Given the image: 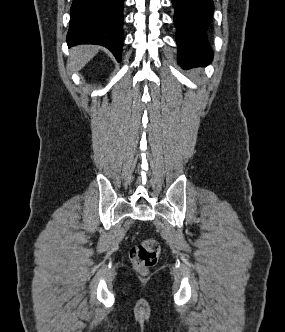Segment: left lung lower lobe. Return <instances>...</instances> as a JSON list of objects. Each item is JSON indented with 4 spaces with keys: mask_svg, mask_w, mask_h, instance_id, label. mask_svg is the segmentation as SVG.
Masks as SVG:
<instances>
[{
    "mask_svg": "<svg viewBox=\"0 0 285 332\" xmlns=\"http://www.w3.org/2000/svg\"><path fill=\"white\" fill-rule=\"evenodd\" d=\"M172 4L179 64L189 68L210 63L213 51L206 31L212 22L213 0H172Z\"/></svg>",
    "mask_w": 285,
    "mask_h": 332,
    "instance_id": "obj_1",
    "label": "left lung lower lobe"
}]
</instances>
